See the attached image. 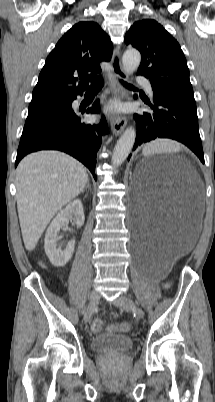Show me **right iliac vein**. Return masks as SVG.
Returning a JSON list of instances; mask_svg holds the SVG:
<instances>
[{
	"label": "right iliac vein",
	"mask_w": 215,
	"mask_h": 402,
	"mask_svg": "<svg viewBox=\"0 0 215 402\" xmlns=\"http://www.w3.org/2000/svg\"><path fill=\"white\" fill-rule=\"evenodd\" d=\"M99 300H100V294L97 291H92L89 297V304L83 315L84 322H88L90 320Z\"/></svg>",
	"instance_id": "obj_1"
}]
</instances>
